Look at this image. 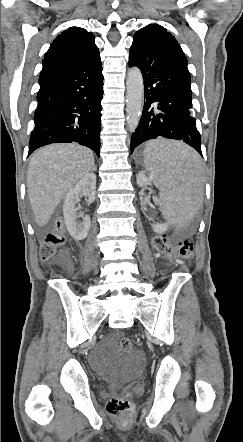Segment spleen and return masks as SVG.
<instances>
[{
  "mask_svg": "<svg viewBox=\"0 0 243 442\" xmlns=\"http://www.w3.org/2000/svg\"><path fill=\"white\" fill-rule=\"evenodd\" d=\"M142 170L160 190L164 219H171L172 226H183L184 219H194L201 193L188 192H201L202 184L199 183L201 160L193 149L176 141H149L144 149Z\"/></svg>",
  "mask_w": 243,
  "mask_h": 442,
  "instance_id": "obj_1",
  "label": "spleen"
}]
</instances>
